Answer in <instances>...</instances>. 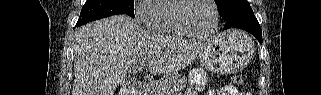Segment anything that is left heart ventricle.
<instances>
[{"instance_id": "1", "label": "left heart ventricle", "mask_w": 321, "mask_h": 95, "mask_svg": "<svg viewBox=\"0 0 321 95\" xmlns=\"http://www.w3.org/2000/svg\"><path fill=\"white\" fill-rule=\"evenodd\" d=\"M184 18L196 30L206 32L214 24L213 7L208 0H195L185 9Z\"/></svg>"}]
</instances>
